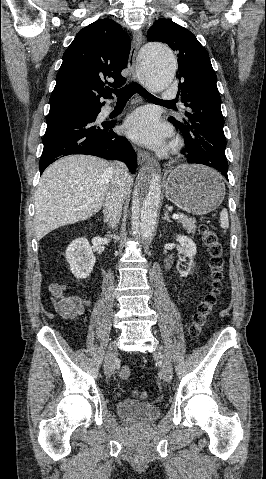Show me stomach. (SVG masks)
Returning <instances> with one entry per match:
<instances>
[{
    "instance_id": "1",
    "label": "stomach",
    "mask_w": 266,
    "mask_h": 479,
    "mask_svg": "<svg viewBox=\"0 0 266 479\" xmlns=\"http://www.w3.org/2000/svg\"><path fill=\"white\" fill-rule=\"evenodd\" d=\"M165 195L180 209L204 215L217 208L225 196L221 175L203 165H182L172 170L165 182Z\"/></svg>"
}]
</instances>
